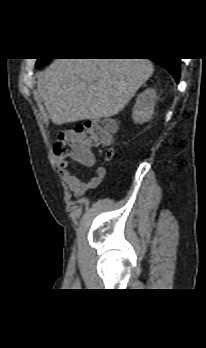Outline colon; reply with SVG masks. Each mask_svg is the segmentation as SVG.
<instances>
[{
  "instance_id": "obj_1",
  "label": "colon",
  "mask_w": 206,
  "mask_h": 348,
  "mask_svg": "<svg viewBox=\"0 0 206 348\" xmlns=\"http://www.w3.org/2000/svg\"><path fill=\"white\" fill-rule=\"evenodd\" d=\"M115 126L102 119L78 124L74 129L61 132L53 149L57 157L68 158L80 164H91L95 158L92 149L112 143ZM113 150L109 149L105 159L109 160Z\"/></svg>"
}]
</instances>
